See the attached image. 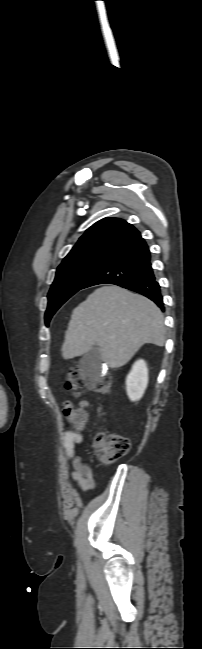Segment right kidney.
Returning a JSON list of instances; mask_svg holds the SVG:
<instances>
[{
  "instance_id": "right-kidney-1",
  "label": "right kidney",
  "mask_w": 202,
  "mask_h": 649,
  "mask_svg": "<svg viewBox=\"0 0 202 649\" xmlns=\"http://www.w3.org/2000/svg\"><path fill=\"white\" fill-rule=\"evenodd\" d=\"M148 384V369L144 360H138L132 366L126 378V392L131 401L139 400Z\"/></svg>"
}]
</instances>
